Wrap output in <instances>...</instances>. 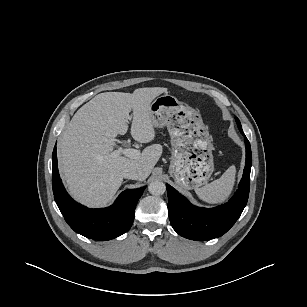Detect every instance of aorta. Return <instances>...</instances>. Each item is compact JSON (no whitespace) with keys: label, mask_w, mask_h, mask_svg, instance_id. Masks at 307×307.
Wrapping results in <instances>:
<instances>
[{"label":"aorta","mask_w":307,"mask_h":307,"mask_svg":"<svg viewBox=\"0 0 307 307\" xmlns=\"http://www.w3.org/2000/svg\"><path fill=\"white\" fill-rule=\"evenodd\" d=\"M148 191L152 195L159 196L165 193L166 185L162 181L155 180L148 185Z\"/></svg>","instance_id":"1"}]
</instances>
